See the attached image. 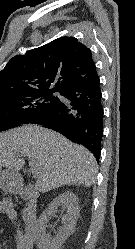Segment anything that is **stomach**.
Segmentation results:
<instances>
[{"label": "stomach", "mask_w": 135, "mask_h": 249, "mask_svg": "<svg viewBox=\"0 0 135 249\" xmlns=\"http://www.w3.org/2000/svg\"><path fill=\"white\" fill-rule=\"evenodd\" d=\"M17 184L18 182L14 173L0 168V187L2 186L6 190H11Z\"/></svg>", "instance_id": "1"}]
</instances>
